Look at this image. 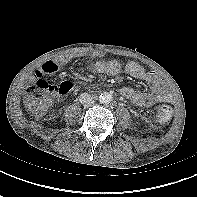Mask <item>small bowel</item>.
Returning a JSON list of instances; mask_svg holds the SVG:
<instances>
[{
	"instance_id": "small-bowel-1",
	"label": "small bowel",
	"mask_w": 197,
	"mask_h": 197,
	"mask_svg": "<svg viewBox=\"0 0 197 197\" xmlns=\"http://www.w3.org/2000/svg\"><path fill=\"white\" fill-rule=\"evenodd\" d=\"M93 56L100 58L103 56V53L97 51ZM72 58L73 56H67L56 61H47L36 71L35 75L41 77L44 75L55 74ZM121 70L122 66L120 62L115 59L107 61L97 60L91 66V71L95 74L116 75L120 73ZM124 70L128 75L146 82L150 88V91L148 92L136 91L132 87L121 88V95L133 104L147 107L157 102L170 101L173 99L169 83L156 72L146 71L142 66L135 62H129Z\"/></svg>"
}]
</instances>
